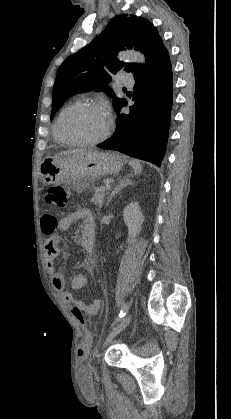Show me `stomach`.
I'll list each match as a JSON object with an SVG mask.
<instances>
[{"mask_svg": "<svg viewBox=\"0 0 231 419\" xmlns=\"http://www.w3.org/2000/svg\"><path fill=\"white\" fill-rule=\"evenodd\" d=\"M123 164L124 159L119 154L89 151L46 158L40 164L39 176L46 185L71 181L75 189L82 192L97 179L117 173Z\"/></svg>", "mask_w": 231, "mask_h": 419, "instance_id": "0dacf381", "label": "stomach"}]
</instances>
